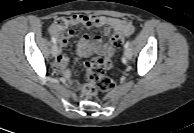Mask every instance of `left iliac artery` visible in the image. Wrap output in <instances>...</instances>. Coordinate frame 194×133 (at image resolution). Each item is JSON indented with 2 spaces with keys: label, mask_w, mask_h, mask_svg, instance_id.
I'll return each instance as SVG.
<instances>
[{
  "label": "left iliac artery",
  "mask_w": 194,
  "mask_h": 133,
  "mask_svg": "<svg viewBox=\"0 0 194 133\" xmlns=\"http://www.w3.org/2000/svg\"><path fill=\"white\" fill-rule=\"evenodd\" d=\"M129 45H130V41H127V42H126V44H125V46H124V47H125V49H126V48H128V47H129Z\"/></svg>",
  "instance_id": "left-iliac-artery-1"
}]
</instances>
